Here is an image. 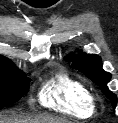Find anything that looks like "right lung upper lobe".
<instances>
[{
	"label": "right lung upper lobe",
	"instance_id": "1",
	"mask_svg": "<svg viewBox=\"0 0 118 123\" xmlns=\"http://www.w3.org/2000/svg\"><path fill=\"white\" fill-rule=\"evenodd\" d=\"M0 63L12 65L11 61L3 56H0Z\"/></svg>",
	"mask_w": 118,
	"mask_h": 123
}]
</instances>
